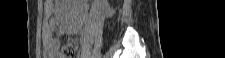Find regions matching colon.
<instances>
[{
  "mask_svg": "<svg viewBox=\"0 0 225 58\" xmlns=\"http://www.w3.org/2000/svg\"><path fill=\"white\" fill-rule=\"evenodd\" d=\"M77 51H78V48L74 43L67 44L66 46H64L62 50V57L72 58L76 55Z\"/></svg>",
  "mask_w": 225,
  "mask_h": 58,
  "instance_id": "colon-1",
  "label": "colon"
}]
</instances>
